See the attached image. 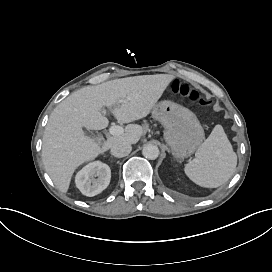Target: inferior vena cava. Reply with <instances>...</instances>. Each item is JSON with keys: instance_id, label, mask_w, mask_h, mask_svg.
I'll return each instance as SVG.
<instances>
[{"instance_id": "1", "label": "inferior vena cava", "mask_w": 272, "mask_h": 272, "mask_svg": "<svg viewBox=\"0 0 272 272\" xmlns=\"http://www.w3.org/2000/svg\"><path fill=\"white\" fill-rule=\"evenodd\" d=\"M132 151L130 144L118 142L112 145L111 154L117 158L125 157Z\"/></svg>"}]
</instances>
